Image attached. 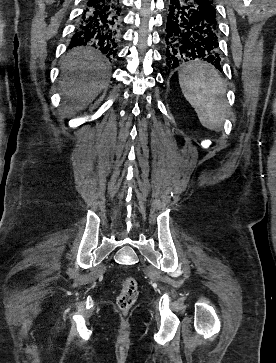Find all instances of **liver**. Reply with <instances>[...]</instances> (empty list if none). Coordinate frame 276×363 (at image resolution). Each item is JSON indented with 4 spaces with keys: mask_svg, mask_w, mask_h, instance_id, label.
I'll return each instance as SVG.
<instances>
[{
    "mask_svg": "<svg viewBox=\"0 0 276 363\" xmlns=\"http://www.w3.org/2000/svg\"><path fill=\"white\" fill-rule=\"evenodd\" d=\"M61 69L67 74L61 83L62 95L74 100L73 105L64 109L68 115L82 110L104 88L102 78L108 68L91 48H74L63 60Z\"/></svg>",
    "mask_w": 276,
    "mask_h": 363,
    "instance_id": "liver-1",
    "label": "liver"
}]
</instances>
